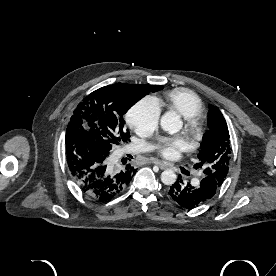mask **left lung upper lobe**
Returning <instances> with one entry per match:
<instances>
[{
  "mask_svg": "<svg viewBox=\"0 0 276 276\" xmlns=\"http://www.w3.org/2000/svg\"><path fill=\"white\" fill-rule=\"evenodd\" d=\"M208 122L209 130L203 136L197 166L203 170V177L213 179L219 189L229 170L230 135L226 121L216 106L210 105Z\"/></svg>",
  "mask_w": 276,
  "mask_h": 276,
  "instance_id": "obj_1",
  "label": "left lung upper lobe"
}]
</instances>
